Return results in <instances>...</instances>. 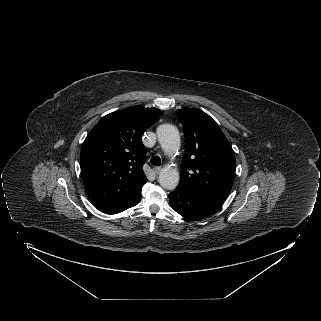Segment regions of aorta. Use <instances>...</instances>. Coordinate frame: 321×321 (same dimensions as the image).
<instances>
[{"label":"aorta","mask_w":321,"mask_h":321,"mask_svg":"<svg viewBox=\"0 0 321 321\" xmlns=\"http://www.w3.org/2000/svg\"><path fill=\"white\" fill-rule=\"evenodd\" d=\"M158 141L163 151L172 156L180 148V135L178 129L172 124H162L157 128ZM179 172L176 168L165 166L159 174L160 185L167 190L175 189L179 184Z\"/></svg>","instance_id":"obj_1"}]
</instances>
